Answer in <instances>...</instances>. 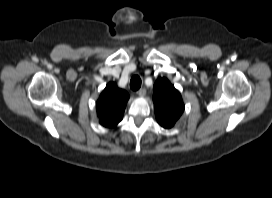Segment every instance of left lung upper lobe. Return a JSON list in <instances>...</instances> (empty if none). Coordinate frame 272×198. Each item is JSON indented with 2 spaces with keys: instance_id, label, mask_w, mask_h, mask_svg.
<instances>
[{
  "instance_id": "left-lung-upper-lobe-1",
  "label": "left lung upper lobe",
  "mask_w": 272,
  "mask_h": 198,
  "mask_svg": "<svg viewBox=\"0 0 272 198\" xmlns=\"http://www.w3.org/2000/svg\"><path fill=\"white\" fill-rule=\"evenodd\" d=\"M153 101L157 121L164 128H171L184 111L179 91L166 78L155 82Z\"/></svg>"
}]
</instances>
